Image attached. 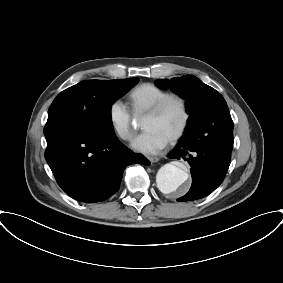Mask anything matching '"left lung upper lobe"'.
<instances>
[{
	"mask_svg": "<svg viewBox=\"0 0 283 283\" xmlns=\"http://www.w3.org/2000/svg\"><path fill=\"white\" fill-rule=\"evenodd\" d=\"M162 88L170 87L186 99V111L190 115L186 128L199 127L201 140L209 147L232 151L233 121L223 96L197 77L160 79Z\"/></svg>",
	"mask_w": 283,
	"mask_h": 283,
	"instance_id": "1",
	"label": "left lung upper lobe"
}]
</instances>
